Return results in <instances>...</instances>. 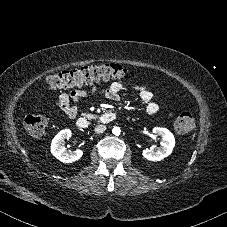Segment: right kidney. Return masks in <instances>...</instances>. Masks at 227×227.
I'll return each instance as SVG.
<instances>
[{
    "label": "right kidney",
    "mask_w": 227,
    "mask_h": 227,
    "mask_svg": "<svg viewBox=\"0 0 227 227\" xmlns=\"http://www.w3.org/2000/svg\"><path fill=\"white\" fill-rule=\"evenodd\" d=\"M71 134V130L64 129L53 138L51 143V153L58 160L64 163H72L74 161H77L83 155V151L80 149H77L73 152H68L66 150V147L64 146L65 139L71 137Z\"/></svg>",
    "instance_id": "right-kidney-1"
}]
</instances>
